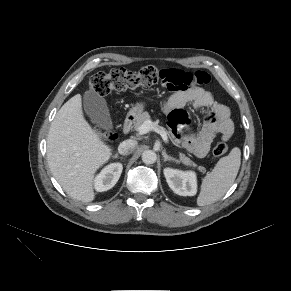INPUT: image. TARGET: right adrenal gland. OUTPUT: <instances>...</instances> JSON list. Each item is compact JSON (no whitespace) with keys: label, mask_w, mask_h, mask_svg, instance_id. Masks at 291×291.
I'll use <instances>...</instances> for the list:
<instances>
[{"label":"right adrenal gland","mask_w":291,"mask_h":291,"mask_svg":"<svg viewBox=\"0 0 291 291\" xmlns=\"http://www.w3.org/2000/svg\"><path fill=\"white\" fill-rule=\"evenodd\" d=\"M113 157L114 158H119V155L118 154H115ZM120 158H122V157H120Z\"/></svg>","instance_id":"2a0ac1e0"}]
</instances>
